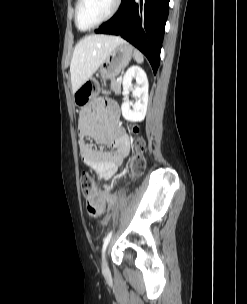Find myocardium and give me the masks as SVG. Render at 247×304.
<instances>
[{
    "label": "myocardium",
    "instance_id": "1",
    "mask_svg": "<svg viewBox=\"0 0 247 304\" xmlns=\"http://www.w3.org/2000/svg\"><path fill=\"white\" fill-rule=\"evenodd\" d=\"M82 2H83V0H77V3H76V7H75V24H76V26H77V28L79 30H81V31H89V30H92V29H95V28L99 27L103 23H105L108 20H110L117 13V11L119 10L122 0H115L114 6H113L112 10L102 20H100L99 22H97L96 24H94L93 26H91L89 28H81L79 26V22H78L79 9H80V6H81Z\"/></svg>",
    "mask_w": 247,
    "mask_h": 304
}]
</instances>
